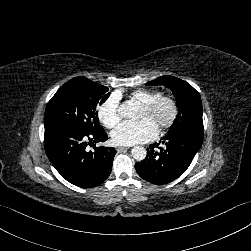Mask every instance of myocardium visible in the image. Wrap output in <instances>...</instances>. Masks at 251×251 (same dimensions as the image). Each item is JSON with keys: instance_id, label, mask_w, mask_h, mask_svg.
I'll return each mask as SVG.
<instances>
[{"instance_id": "1", "label": "myocardium", "mask_w": 251, "mask_h": 251, "mask_svg": "<svg viewBox=\"0 0 251 251\" xmlns=\"http://www.w3.org/2000/svg\"><path fill=\"white\" fill-rule=\"evenodd\" d=\"M163 104H169L172 107V115L170 119L166 122L159 124V127L162 130H167L172 128L177 123L180 117V104L175 97L170 95H162L159 98L155 99L153 102L147 105H142V109L146 112L152 113L157 111Z\"/></svg>"}]
</instances>
